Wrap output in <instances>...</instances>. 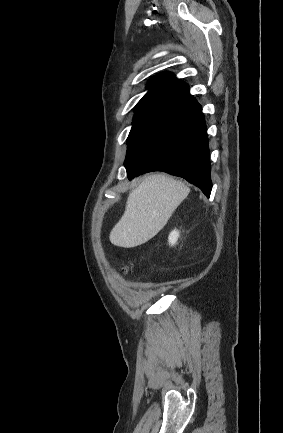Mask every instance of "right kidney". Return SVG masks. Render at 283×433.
Masks as SVG:
<instances>
[{
    "mask_svg": "<svg viewBox=\"0 0 283 433\" xmlns=\"http://www.w3.org/2000/svg\"><path fill=\"white\" fill-rule=\"evenodd\" d=\"M180 236V232L176 229H174L168 237V242L171 246L175 245L177 243V240Z\"/></svg>",
    "mask_w": 283,
    "mask_h": 433,
    "instance_id": "ca27d5eb",
    "label": "right kidney"
}]
</instances>
